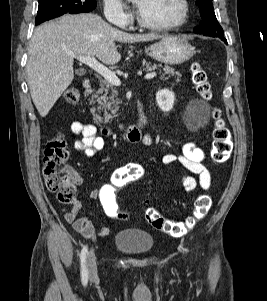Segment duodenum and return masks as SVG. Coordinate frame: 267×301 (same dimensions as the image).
Wrapping results in <instances>:
<instances>
[{"instance_id":"duodenum-1","label":"duodenum","mask_w":267,"mask_h":301,"mask_svg":"<svg viewBox=\"0 0 267 301\" xmlns=\"http://www.w3.org/2000/svg\"><path fill=\"white\" fill-rule=\"evenodd\" d=\"M83 87L86 91V93H91L92 92V85L88 80H85L83 83ZM138 108V113H137V123L136 125L129 127L125 129L124 131H121L117 133V135L127 141V142H138L141 140L142 137V130L143 128L147 125L148 123V118L146 114L143 111V106L140 102L137 104ZM102 132L104 135H112L115 132L108 129V128H103Z\"/></svg>"}]
</instances>
